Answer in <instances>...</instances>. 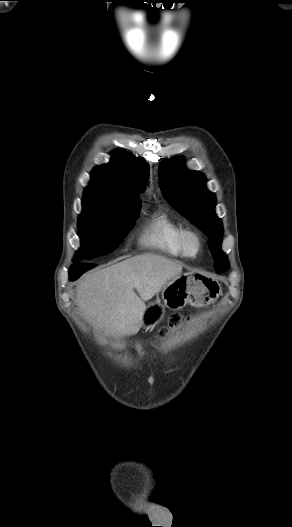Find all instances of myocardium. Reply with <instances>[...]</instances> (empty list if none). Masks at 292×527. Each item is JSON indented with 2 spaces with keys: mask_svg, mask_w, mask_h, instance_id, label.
I'll list each match as a JSON object with an SVG mask.
<instances>
[{
  "mask_svg": "<svg viewBox=\"0 0 292 527\" xmlns=\"http://www.w3.org/2000/svg\"><path fill=\"white\" fill-rule=\"evenodd\" d=\"M192 245H194V248H192ZM180 246L184 256L193 259L201 253L203 239L198 231L184 228L180 235Z\"/></svg>",
  "mask_w": 292,
  "mask_h": 527,
  "instance_id": "myocardium-1",
  "label": "myocardium"
}]
</instances>
